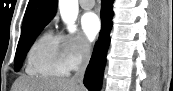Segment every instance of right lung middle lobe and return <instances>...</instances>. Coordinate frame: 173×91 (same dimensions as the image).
I'll return each instance as SVG.
<instances>
[{"label": "right lung middle lobe", "instance_id": "1", "mask_svg": "<svg viewBox=\"0 0 173 91\" xmlns=\"http://www.w3.org/2000/svg\"><path fill=\"white\" fill-rule=\"evenodd\" d=\"M44 26L46 25H40L31 30L21 33V37H20L17 50H16V55H15L14 67L16 72H18L19 69L21 68V65H22V62L24 61L26 53L28 52L35 38L40 33V31L44 28Z\"/></svg>", "mask_w": 173, "mask_h": 91}]
</instances>
